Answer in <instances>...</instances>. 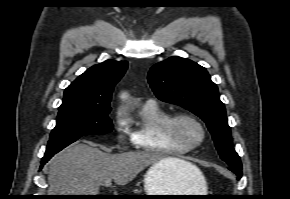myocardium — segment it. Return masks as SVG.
Returning a JSON list of instances; mask_svg holds the SVG:
<instances>
[{
    "mask_svg": "<svg viewBox=\"0 0 290 199\" xmlns=\"http://www.w3.org/2000/svg\"><path fill=\"white\" fill-rule=\"evenodd\" d=\"M182 122H190L196 125L201 131L200 139L192 142L184 138L178 130V126ZM164 133L166 137L174 144L187 150H192L202 145L207 136V131L204 124L197 117L188 113H178L172 115L164 126Z\"/></svg>",
    "mask_w": 290,
    "mask_h": 199,
    "instance_id": "f54148a6",
    "label": "myocardium"
}]
</instances>
